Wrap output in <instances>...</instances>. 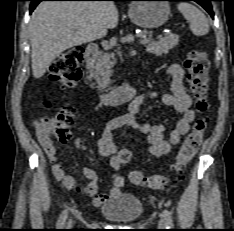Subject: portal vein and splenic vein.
<instances>
[{
	"instance_id": "18ae733b",
	"label": "portal vein and splenic vein",
	"mask_w": 234,
	"mask_h": 231,
	"mask_svg": "<svg viewBox=\"0 0 234 231\" xmlns=\"http://www.w3.org/2000/svg\"><path fill=\"white\" fill-rule=\"evenodd\" d=\"M149 42V39L143 38L140 40V44H147Z\"/></svg>"
}]
</instances>
